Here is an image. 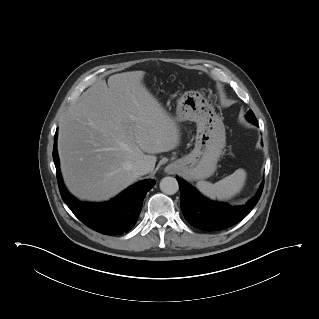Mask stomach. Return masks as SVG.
Returning <instances> with one entry per match:
<instances>
[{
  "label": "stomach",
  "mask_w": 319,
  "mask_h": 319,
  "mask_svg": "<svg viewBox=\"0 0 319 319\" xmlns=\"http://www.w3.org/2000/svg\"><path fill=\"white\" fill-rule=\"evenodd\" d=\"M177 122L192 121L197 125L194 149L172 162L168 168L189 180H203L212 176L226 146L223 118L198 91H187L177 101Z\"/></svg>",
  "instance_id": "1"
}]
</instances>
